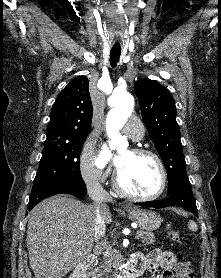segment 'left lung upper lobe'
<instances>
[{"label":"left lung upper lobe","instance_id":"left-lung-upper-lobe-1","mask_svg":"<svg viewBox=\"0 0 221 278\" xmlns=\"http://www.w3.org/2000/svg\"><path fill=\"white\" fill-rule=\"evenodd\" d=\"M134 89L143 121L165 165L170 194L179 185L189 183L174 99L155 80H138Z\"/></svg>","mask_w":221,"mask_h":278}]
</instances>
